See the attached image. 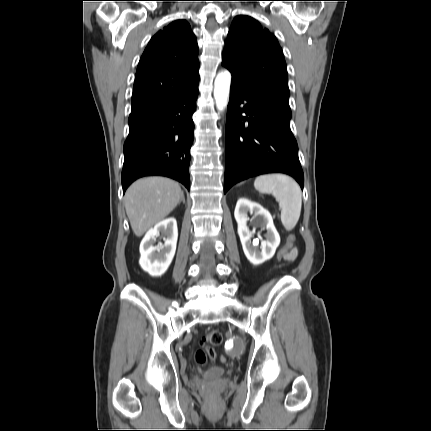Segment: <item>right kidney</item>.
Instances as JSON below:
<instances>
[{"mask_svg":"<svg viewBox=\"0 0 431 431\" xmlns=\"http://www.w3.org/2000/svg\"><path fill=\"white\" fill-rule=\"evenodd\" d=\"M163 235L164 244L154 245L156 238ZM178 239L177 222L168 218L150 229L140 244L141 268L151 276H161L169 268L176 251Z\"/></svg>","mask_w":431,"mask_h":431,"instance_id":"1","label":"right kidney"}]
</instances>
